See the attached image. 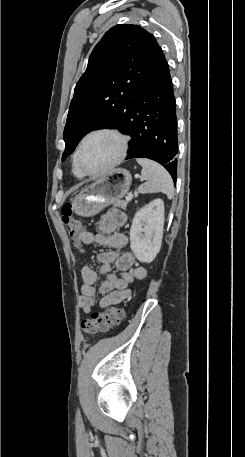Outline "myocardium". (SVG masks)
I'll return each instance as SVG.
<instances>
[{
  "label": "myocardium",
  "mask_w": 245,
  "mask_h": 457,
  "mask_svg": "<svg viewBox=\"0 0 245 457\" xmlns=\"http://www.w3.org/2000/svg\"><path fill=\"white\" fill-rule=\"evenodd\" d=\"M99 134L112 135L119 141L117 154L114 157V159L108 165L103 167L102 169L97 170L95 172H89V171L85 170V168L82 166L81 161H80V156H81L82 150H83L87 140L89 138H91L92 136L99 135ZM127 149H128L127 137L124 134H122L120 131H118L117 129H114V128H98V129L92 130L91 132L86 134L84 136V138L81 140L79 147L75 154V162H76L78 169L80 170V172L83 175L96 177V176H99V175L111 170L117 164H119L120 161L126 156Z\"/></svg>",
  "instance_id": "obj_1"
}]
</instances>
